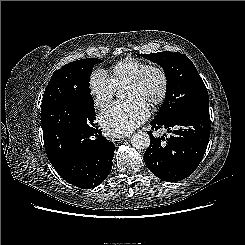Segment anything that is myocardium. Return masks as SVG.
Masks as SVG:
<instances>
[{
  "label": "myocardium",
  "mask_w": 245,
  "mask_h": 245,
  "mask_svg": "<svg viewBox=\"0 0 245 245\" xmlns=\"http://www.w3.org/2000/svg\"><path fill=\"white\" fill-rule=\"evenodd\" d=\"M152 72L157 73L161 80V88L158 95L149 101L150 105L157 106L164 102L169 88L168 75L163 67L158 65H148L143 70H141L136 76H134L130 81H128L125 86H140L141 84H143L147 76Z\"/></svg>",
  "instance_id": "myocardium-1"
}]
</instances>
